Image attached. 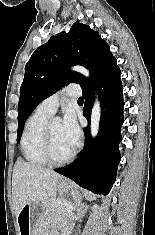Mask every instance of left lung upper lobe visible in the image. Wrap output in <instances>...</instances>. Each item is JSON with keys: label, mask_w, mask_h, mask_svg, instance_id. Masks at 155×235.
<instances>
[{"label": "left lung upper lobe", "mask_w": 155, "mask_h": 235, "mask_svg": "<svg viewBox=\"0 0 155 235\" xmlns=\"http://www.w3.org/2000/svg\"><path fill=\"white\" fill-rule=\"evenodd\" d=\"M114 59L99 33L79 22H75L68 33L52 36L40 46L25 65L18 103L17 142L28 116L40 102L69 83H77L81 88L95 83ZM74 64L89 68L91 77L71 72L68 68Z\"/></svg>", "instance_id": "5c2ea615"}]
</instances>
